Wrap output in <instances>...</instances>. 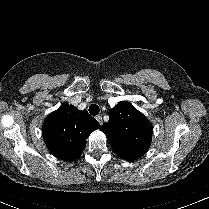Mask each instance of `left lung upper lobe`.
<instances>
[{
    "label": "left lung upper lobe",
    "instance_id": "5c2ea615",
    "mask_svg": "<svg viewBox=\"0 0 209 209\" xmlns=\"http://www.w3.org/2000/svg\"><path fill=\"white\" fill-rule=\"evenodd\" d=\"M101 131L118 156L135 161L148 150L153 128L131 103L120 102L109 110V121L101 127Z\"/></svg>",
    "mask_w": 209,
    "mask_h": 209
}]
</instances>
